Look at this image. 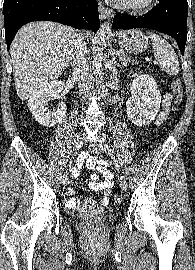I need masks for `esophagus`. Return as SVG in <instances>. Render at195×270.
<instances>
[{"label": "esophagus", "mask_w": 195, "mask_h": 270, "mask_svg": "<svg viewBox=\"0 0 195 270\" xmlns=\"http://www.w3.org/2000/svg\"><path fill=\"white\" fill-rule=\"evenodd\" d=\"M99 14L102 20L110 19L112 17L111 11L106 8L102 2H99Z\"/></svg>", "instance_id": "obj_1"}]
</instances>
